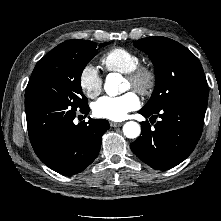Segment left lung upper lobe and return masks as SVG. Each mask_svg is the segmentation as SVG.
I'll return each instance as SVG.
<instances>
[{
  "mask_svg": "<svg viewBox=\"0 0 221 221\" xmlns=\"http://www.w3.org/2000/svg\"><path fill=\"white\" fill-rule=\"evenodd\" d=\"M155 66V89L142 108L155 111L185 96L208 98V86L198 58L180 43L166 37H147L134 43Z\"/></svg>",
  "mask_w": 221,
  "mask_h": 221,
  "instance_id": "obj_1",
  "label": "left lung upper lobe"
}]
</instances>
